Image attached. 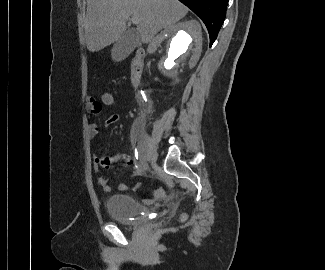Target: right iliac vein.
<instances>
[{
	"mask_svg": "<svg viewBox=\"0 0 325 270\" xmlns=\"http://www.w3.org/2000/svg\"><path fill=\"white\" fill-rule=\"evenodd\" d=\"M148 160L152 163L156 162L157 160V151L155 148L152 149L151 153L148 156Z\"/></svg>",
	"mask_w": 325,
	"mask_h": 270,
	"instance_id": "63e3f726",
	"label": "right iliac vein"
}]
</instances>
